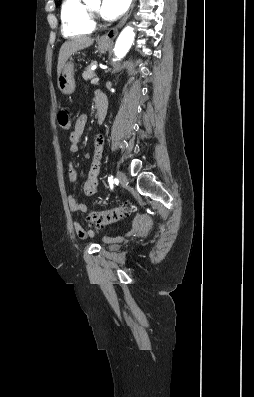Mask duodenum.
Instances as JSON below:
<instances>
[{
  "label": "duodenum",
  "instance_id": "1",
  "mask_svg": "<svg viewBox=\"0 0 254 397\" xmlns=\"http://www.w3.org/2000/svg\"><path fill=\"white\" fill-rule=\"evenodd\" d=\"M107 107V98L103 93H101L96 99L97 121L99 124H102L105 119Z\"/></svg>",
  "mask_w": 254,
  "mask_h": 397
}]
</instances>
